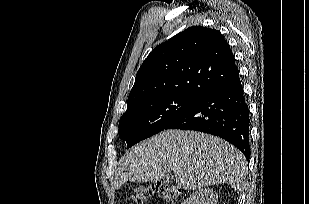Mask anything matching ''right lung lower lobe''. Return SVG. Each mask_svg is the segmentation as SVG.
<instances>
[{
	"label": "right lung lower lobe",
	"instance_id": "1",
	"mask_svg": "<svg viewBox=\"0 0 309 204\" xmlns=\"http://www.w3.org/2000/svg\"><path fill=\"white\" fill-rule=\"evenodd\" d=\"M249 110L238 76L202 97L166 129L196 130L219 136L237 147L248 159Z\"/></svg>",
	"mask_w": 309,
	"mask_h": 204
}]
</instances>
